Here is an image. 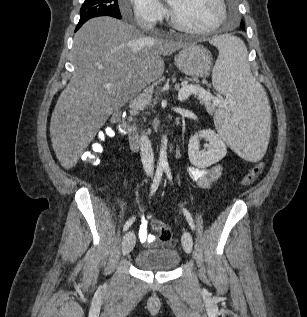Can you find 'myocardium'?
I'll use <instances>...</instances> for the list:
<instances>
[{
	"label": "myocardium",
	"mask_w": 307,
	"mask_h": 317,
	"mask_svg": "<svg viewBox=\"0 0 307 317\" xmlns=\"http://www.w3.org/2000/svg\"><path fill=\"white\" fill-rule=\"evenodd\" d=\"M219 7H220V15L217 21L210 27L204 28V29H197V28H192L189 26H186L183 24L175 15L173 12V9L170 7V24L178 31L192 34V35H198V36H205L209 35L213 32H215L218 28L222 26L224 21L226 20L227 17V5L225 0H217Z\"/></svg>",
	"instance_id": "1"
}]
</instances>
